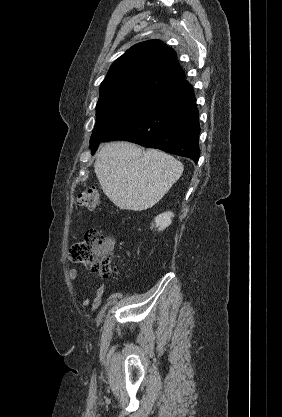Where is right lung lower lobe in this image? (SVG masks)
<instances>
[{
    "instance_id": "right-lung-lower-lobe-1",
    "label": "right lung lower lobe",
    "mask_w": 282,
    "mask_h": 417,
    "mask_svg": "<svg viewBox=\"0 0 282 417\" xmlns=\"http://www.w3.org/2000/svg\"><path fill=\"white\" fill-rule=\"evenodd\" d=\"M198 115L193 88L183 79L159 92L102 142L126 140L197 162L200 154Z\"/></svg>"
}]
</instances>
